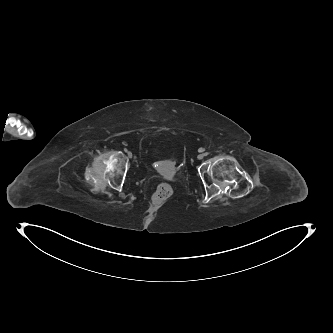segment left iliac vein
Masks as SVG:
<instances>
[{
	"instance_id": "obj_1",
	"label": "left iliac vein",
	"mask_w": 333,
	"mask_h": 333,
	"mask_svg": "<svg viewBox=\"0 0 333 333\" xmlns=\"http://www.w3.org/2000/svg\"><path fill=\"white\" fill-rule=\"evenodd\" d=\"M204 154H199L198 156H197V158L199 159V160H201V159H203L204 158Z\"/></svg>"
}]
</instances>
